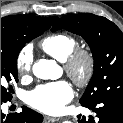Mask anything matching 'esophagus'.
<instances>
[{"label": "esophagus", "mask_w": 123, "mask_h": 123, "mask_svg": "<svg viewBox=\"0 0 123 123\" xmlns=\"http://www.w3.org/2000/svg\"><path fill=\"white\" fill-rule=\"evenodd\" d=\"M45 120H46V121H48V122H52V123H54V122H58V121H60V120H61V118H59V117H50V116H45Z\"/></svg>", "instance_id": "1"}]
</instances>
